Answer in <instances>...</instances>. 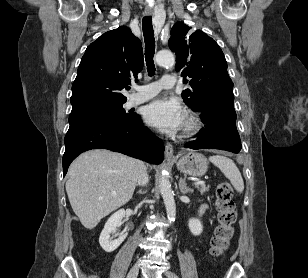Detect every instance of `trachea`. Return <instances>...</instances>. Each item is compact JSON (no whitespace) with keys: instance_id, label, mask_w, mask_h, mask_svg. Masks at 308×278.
Listing matches in <instances>:
<instances>
[{"instance_id":"1","label":"trachea","mask_w":308,"mask_h":278,"mask_svg":"<svg viewBox=\"0 0 308 278\" xmlns=\"http://www.w3.org/2000/svg\"><path fill=\"white\" fill-rule=\"evenodd\" d=\"M143 35L145 41V59L149 76L155 71L153 56L155 53V38L151 16H146L142 21Z\"/></svg>"}]
</instances>
